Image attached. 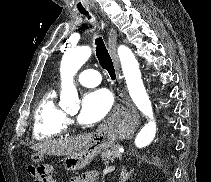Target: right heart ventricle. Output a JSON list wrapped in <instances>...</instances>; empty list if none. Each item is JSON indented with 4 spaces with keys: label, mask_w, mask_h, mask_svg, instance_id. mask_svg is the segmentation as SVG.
Instances as JSON below:
<instances>
[{
    "label": "right heart ventricle",
    "mask_w": 211,
    "mask_h": 182,
    "mask_svg": "<svg viewBox=\"0 0 211 182\" xmlns=\"http://www.w3.org/2000/svg\"><path fill=\"white\" fill-rule=\"evenodd\" d=\"M68 119L56 101L54 90L47 91L36 105L33 117V136L44 141L66 133Z\"/></svg>",
    "instance_id": "right-heart-ventricle-1"
}]
</instances>
